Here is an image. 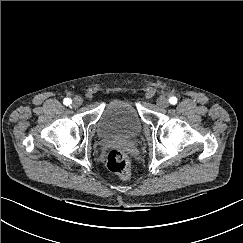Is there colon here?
I'll return each mask as SVG.
<instances>
[{
    "label": "colon",
    "mask_w": 243,
    "mask_h": 243,
    "mask_svg": "<svg viewBox=\"0 0 243 243\" xmlns=\"http://www.w3.org/2000/svg\"><path fill=\"white\" fill-rule=\"evenodd\" d=\"M107 168L122 179L131 176V165L125 153L117 148L111 149L106 157Z\"/></svg>",
    "instance_id": "5ec220e1"
}]
</instances>
